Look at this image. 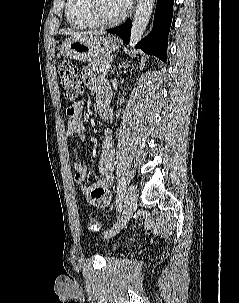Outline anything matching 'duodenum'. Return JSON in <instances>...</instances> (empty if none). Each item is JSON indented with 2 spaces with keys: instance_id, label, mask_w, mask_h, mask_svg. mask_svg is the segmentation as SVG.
<instances>
[{
  "instance_id": "duodenum-1",
  "label": "duodenum",
  "mask_w": 239,
  "mask_h": 303,
  "mask_svg": "<svg viewBox=\"0 0 239 303\" xmlns=\"http://www.w3.org/2000/svg\"><path fill=\"white\" fill-rule=\"evenodd\" d=\"M99 116L104 119L107 120L110 116V110L108 108V106H99Z\"/></svg>"
}]
</instances>
